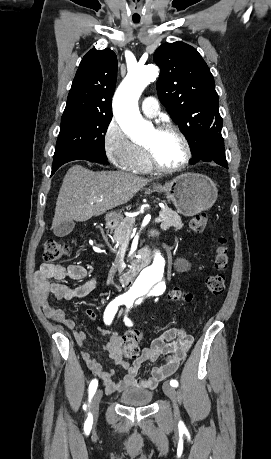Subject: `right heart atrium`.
Here are the masks:
<instances>
[{
	"mask_svg": "<svg viewBox=\"0 0 271 459\" xmlns=\"http://www.w3.org/2000/svg\"><path fill=\"white\" fill-rule=\"evenodd\" d=\"M102 146L109 161L120 169H127L137 153V144L129 140L115 120L107 124L102 135Z\"/></svg>",
	"mask_w": 271,
	"mask_h": 459,
	"instance_id": "right-heart-atrium-1",
	"label": "right heart atrium"
}]
</instances>
